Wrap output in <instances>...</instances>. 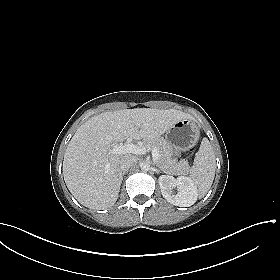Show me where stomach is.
Segmentation results:
<instances>
[{
  "instance_id": "0dacf381",
  "label": "stomach",
  "mask_w": 280,
  "mask_h": 280,
  "mask_svg": "<svg viewBox=\"0 0 280 280\" xmlns=\"http://www.w3.org/2000/svg\"><path fill=\"white\" fill-rule=\"evenodd\" d=\"M200 130L190 119H183L176 122L166 132L167 142L180 150L191 149L199 140Z\"/></svg>"
}]
</instances>
